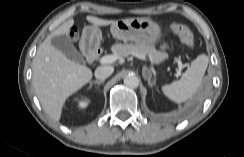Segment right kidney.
Listing matches in <instances>:
<instances>
[{"label": "right kidney", "instance_id": "ca27d5eb", "mask_svg": "<svg viewBox=\"0 0 244 157\" xmlns=\"http://www.w3.org/2000/svg\"><path fill=\"white\" fill-rule=\"evenodd\" d=\"M89 102L90 101L88 99L81 100V101H79L78 106L82 109L86 108L88 106Z\"/></svg>", "mask_w": 244, "mask_h": 157}]
</instances>
